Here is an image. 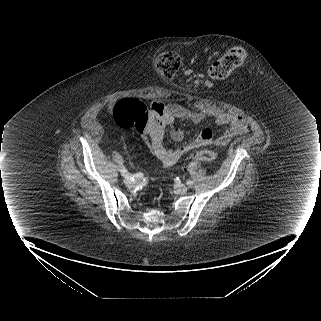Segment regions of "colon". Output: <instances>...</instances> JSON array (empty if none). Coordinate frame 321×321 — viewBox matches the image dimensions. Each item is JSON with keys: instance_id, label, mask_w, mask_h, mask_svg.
Here are the masks:
<instances>
[{"instance_id": "colon-1", "label": "colon", "mask_w": 321, "mask_h": 321, "mask_svg": "<svg viewBox=\"0 0 321 321\" xmlns=\"http://www.w3.org/2000/svg\"><path fill=\"white\" fill-rule=\"evenodd\" d=\"M245 59L246 50L240 46L233 47L209 67L208 75L212 79L226 78L241 66ZM154 66L160 76L170 79L177 74L181 66V57L176 52H162L155 57ZM113 118L122 129L135 128L143 131L148 123L149 111L143 102L137 99H127L116 105ZM211 142L210 135L202 141L205 145H211ZM190 159L212 162L216 159V154L211 150L201 149L193 153Z\"/></svg>"}]
</instances>
